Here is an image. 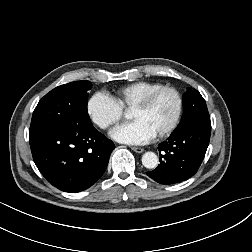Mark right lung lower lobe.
I'll return each instance as SVG.
<instances>
[{
  "label": "right lung lower lobe",
  "instance_id": "obj_1",
  "mask_svg": "<svg viewBox=\"0 0 252 252\" xmlns=\"http://www.w3.org/2000/svg\"><path fill=\"white\" fill-rule=\"evenodd\" d=\"M29 142L40 173L70 193L91 187L105 172L115 148L93 125L70 123L30 128Z\"/></svg>",
  "mask_w": 252,
  "mask_h": 252
}]
</instances>
